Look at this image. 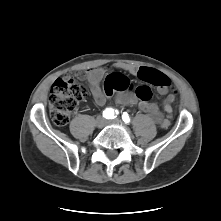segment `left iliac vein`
Segmentation results:
<instances>
[{"mask_svg": "<svg viewBox=\"0 0 221 221\" xmlns=\"http://www.w3.org/2000/svg\"><path fill=\"white\" fill-rule=\"evenodd\" d=\"M108 124H116V125H121L122 122L119 119H114L108 122Z\"/></svg>", "mask_w": 221, "mask_h": 221, "instance_id": "1", "label": "left iliac vein"}]
</instances>
